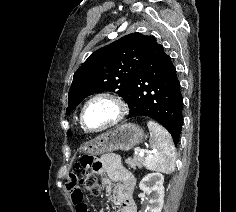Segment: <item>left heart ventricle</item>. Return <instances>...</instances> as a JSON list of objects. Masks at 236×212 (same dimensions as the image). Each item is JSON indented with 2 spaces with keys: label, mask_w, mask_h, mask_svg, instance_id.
<instances>
[{
  "label": "left heart ventricle",
  "mask_w": 236,
  "mask_h": 212,
  "mask_svg": "<svg viewBox=\"0 0 236 212\" xmlns=\"http://www.w3.org/2000/svg\"><path fill=\"white\" fill-rule=\"evenodd\" d=\"M115 114L114 106L105 100L90 104L84 114V122L88 128L96 129L110 121Z\"/></svg>",
  "instance_id": "obj_1"
}]
</instances>
